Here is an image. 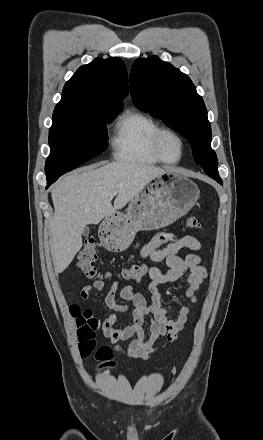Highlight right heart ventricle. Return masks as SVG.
Segmentation results:
<instances>
[{
    "instance_id": "obj_1",
    "label": "right heart ventricle",
    "mask_w": 263,
    "mask_h": 440,
    "mask_svg": "<svg viewBox=\"0 0 263 440\" xmlns=\"http://www.w3.org/2000/svg\"><path fill=\"white\" fill-rule=\"evenodd\" d=\"M160 124L139 110H127L117 120L112 138L113 156L122 162L160 163L152 150V137Z\"/></svg>"
}]
</instances>
